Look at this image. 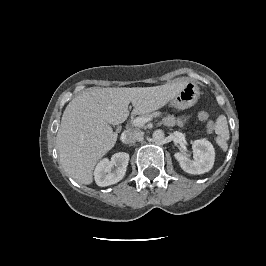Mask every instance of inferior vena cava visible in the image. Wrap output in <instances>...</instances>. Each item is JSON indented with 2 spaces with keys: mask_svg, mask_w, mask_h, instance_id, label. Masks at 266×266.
I'll list each match as a JSON object with an SVG mask.
<instances>
[{
  "mask_svg": "<svg viewBox=\"0 0 266 266\" xmlns=\"http://www.w3.org/2000/svg\"><path fill=\"white\" fill-rule=\"evenodd\" d=\"M143 136L144 133L142 131L129 129L122 133L121 140L126 144H130L141 140Z\"/></svg>",
  "mask_w": 266,
  "mask_h": 266,
  "instance_id": "inferior-vena-cava-1",
  "label": "inferior vena cava"
}]
</instances>
